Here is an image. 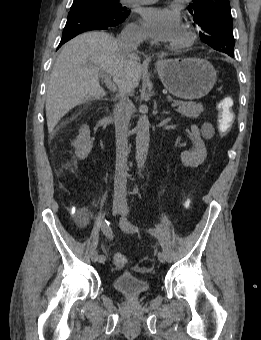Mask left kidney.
<instances>
[{
    "instance_id": "1",
    "label": "left kidney",
    "mask_w": 261,
    "mask_h": 340,
    "mask_svg": "<svg viewBox=\"0 0 261 340\" xmlns=\"http://www.w3.org/2000/svg\"><path fill=\"white\" fill-rule=\"evenodd\" d=\"M191 131L195 138V148L190 151L181 153V161L184 166L198 167L207 157V150L203 140L200 137V130L196 125H191Z\"/></svg>"
}]
</instances>
